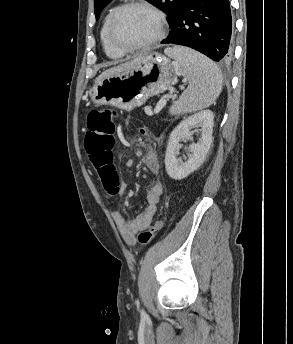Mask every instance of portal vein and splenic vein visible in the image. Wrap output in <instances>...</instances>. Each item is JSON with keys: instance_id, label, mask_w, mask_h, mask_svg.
Returning <instances> with one entry per match:
<instances>
[{"instance_id": "1", "label": "portal vein and splenic vein", "mask_w": 293, "mask_h": 344, "mask_svg": "<svg viewBox=\"0 0 293 344\" xmlns=\"http://www.w3.org/2000/svg\"><path fill=\"white\" fill-rule=\"evenodd\" d=\"M167 97H168V96H163V97L160 98V100H159V102L157 103L156 108H155V110H154L155 113H158V112L164 107V105L166 104V98H167ZM170 97L175 98L176 95L170 96Z\"/></svg>"}]
</instances>
